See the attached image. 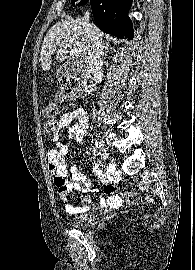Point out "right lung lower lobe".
Listing matches in <instances>:
<instances>
[{
	"label": "right lung lower lobe",
	"mask_w": 195,
	"mask_h": 270,
	"mask_svg": "<svg viewBox=\"0 0 195 270\" xmlns=\"http://www.w3.org/2000/svg\"><path fill=\"white\" fill-rule=\"evenodd\" d=\"M90 2L94 20L105 33L118 38L133 39L134 31L128 17L132 0H81L83 5Z\"/></svg>",
	"instance_id": "right-lung-lower-lobe-1"
}]
</instances>
